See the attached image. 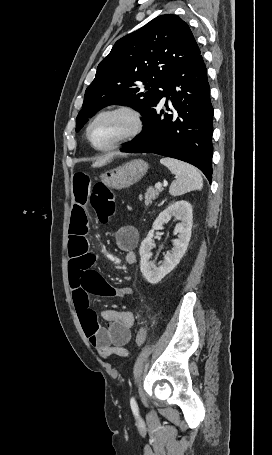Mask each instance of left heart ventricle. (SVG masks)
Listing matches in <instances>:
<instances>
[{
  "label": "left heart ventricle",
  "instance_id": "left-heart-ventricle-1",
  "mask_svg": "<svg viewBox=\"0 0 272 455\" xmlns=\"http://www.w3.org/2000/svg\"><path fill=\"white\" fill-rule=\"evenodd\" d=\"M130 128V120L123 114L101 117L91 129V139L98 147H106L118 140Z\"/></svg>",
  "mask_w": 272,
  "mask_h": 455
}]
</instances>
